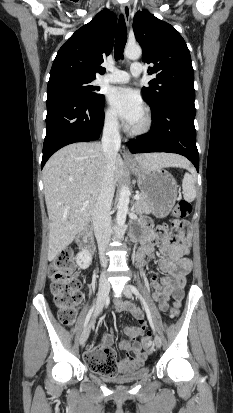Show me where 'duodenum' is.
I'll return each instance as SVG.
<instances>
[{"mask_svg":"<svg viewBox=\"0 0 233 413\" xmlns=\"http://www.w3.org/2000/svg\"><path fill=\"white\" fill-rule=\"evenodd\" d=\"M79 244L83 250L93 251L94 249L93 236L89 230H86L81 234L79 238ZM137 260H138V257H137Z\"/></svg>","mask_w":233,"mask_h":413,"instance_id":"410a0bca","label":"duodenum"}]
</instances>
